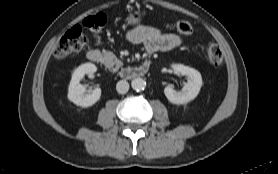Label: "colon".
Returning <instances> with one entry per match:
<instances>
[{"label": "colon", "mask_w": 278, "mask_h": 174, "mask_svg": "<svg viewBox=\"0 0 278 174\" xmlns=\"http://www.w3.org/2000/svg\"><path fill=\"white\" fill-rule=\"evenodd\" d=\"M106 24V16L102 13L86 17L81 24L70 28L58 41L54 50V57L57 61H63L70 55L83 50L87 44L85 30L97 32ZM177 30L184 36H189L193 32L192 25L187 21H180L176 25ZM205 59L208 63L218 66L223 61L221 48L211 43L205 50Z\"/></svg>", "instance_id": "1"}]
</instances>
